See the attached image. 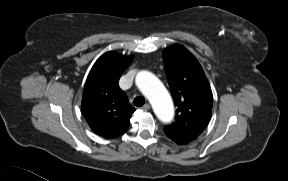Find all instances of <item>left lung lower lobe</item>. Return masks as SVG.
<instances>
[{
    "instance_id": "left-lung-lower-lobe-1",
    "label": "left lung lower lobe",
    "mask_w": 288,
    "mask_h": 181,
    "mask_svg": "<svg viewBox=\"0 0 288 181\" xmlns=\"http://www.w3.org/2000/svg\"><path fill=\"white\" fill-rule=\"evenodd\" d=\"M166 135L178 144H186L196 138L194 136H179V135H174V134H169V133H166Z\"/></svg>"
}]
</instances>
